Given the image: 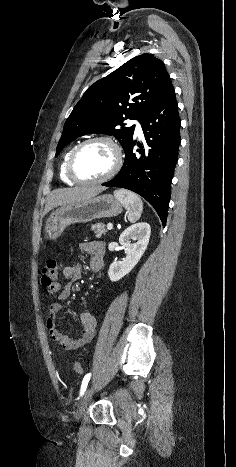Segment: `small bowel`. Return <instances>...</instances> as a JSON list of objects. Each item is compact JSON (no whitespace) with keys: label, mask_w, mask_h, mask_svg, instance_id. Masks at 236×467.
<instances>
[{"label":"small bowel","mask_w":236,"mask_h":467,"mask_svg":"<svg viewBox=\"0 0 236 467\" xmlns=\"http://www.w3.org/2000/svg\"><path fill=\"white\" fill-rule=\"evenodd\" d=\"M80 251L89 256V266L93 272H99L104 266L105 245L100 241H90L81 243ZM82 275V267L80 264L65 266L62 269V279L65 285L56 282L55 285L48 289V295H57L59 299H66L72 290V284L78 281ZM48 317L46 319V329L50 338L59 344L65 350H76L88 343L94 336L96 329V319L89 311H81L79 313V323L81 335L76 338H71L68 335L61 333L56 325V317L61 310L58 303H50L47 307Z\"/></svg>","instance_id":"obj_1"}]
</instances>
